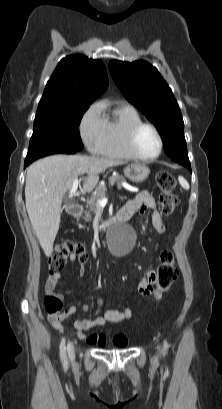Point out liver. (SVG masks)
Masks as SVG:
<instances>
[{"label":"liver","mask_w":222,"mask_h":409,"mask_svg":"<svg viewBox=\"0 0 222 409\" xmlns=\"http://www.w3.org/2000/svg\"><path fill=\"white\" fill-rule=\"evenodd\" d=\"M122 161L85 155H53L40 159L27 169L25 183L26 210L40 246L46 256L53 252L59 230L61 205L73 181L82 177L84 190H93L99 174Z\"/></svg>","instance_id":"obj_1"}]
</instances>
